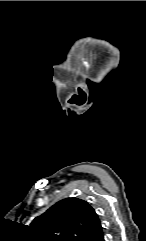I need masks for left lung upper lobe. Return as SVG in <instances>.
I'll list each match as a JSON object with an SVG mask.
<instances>
[{"mask_svg": "<svg viewBox=\"0 0 146 241\" xmlns=\"http://www.w3.org/2000/svg\"><path fill=\"white\" fill-rule=\"evenodd\" d=\"M100 226L94 209L74 197L57 202L30 224L37 241H83Z\"/></svg>", "mask_w": 146, "mask_h": 241, "instance_id": "obj_1", "label": "left lung upper lobe"}]
</instances>
